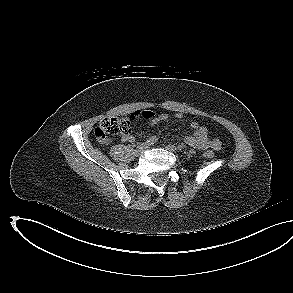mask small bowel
<instances>
[{"label": "small bowel", "instance_id": "1", "mask_svg": "<svg viewBox=\"0 0 293 293\" xmlns=\"http://www.w3.org/2000/svg\"><path fill=\"white\" fill-rule=\"evenodd\" d=\"M130 120H134L138 117H143L146 119L151 126L163 122L168 119L166 113L156 114L151 110L143 111H133L126 116ZM182 117L181 113L175 114V118L180 119ZM191 128L193 129V134L185 136V142L194 148L204 149V150H218L221 143L218 139L210 138L208 135V129L205 126L200 125L196 121L191 122ZM123 142H134L135 138L131 134L122 136Z\"/></svg>", "mask_w": 293, "mask_h": 293}]
</instances>
